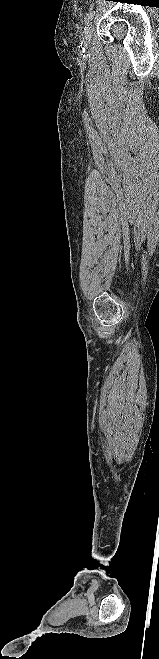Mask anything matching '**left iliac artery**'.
Segmentation results:
<instances>
[{"label":"left iliac artery","mask_w":159,"mask_h":659,"mask_svg":"<svg viewBox=\"0 0 159 659\" xmlns=\"http://www.w3.org/2000/svg\"><path fill=\"white\" fill-rule=\"evenodd\" d=\"M94 15H95V11H94V10L89 11V12L86 14V16H85V22L88 23L90 20H92V18H93Z\"/></svg>","instance_id":"left-iliac-artery-1"}]
</instances>
